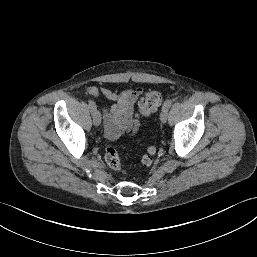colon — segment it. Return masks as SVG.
<instances>
[{
  "label": "colon",
  "instance_id": "1",
  "mask_svg": "<svg viewBox=\"0 0 257 257\" xmlns=\"http://www.w3.org/2000/svg\"><path fill=\"white\" fill-rule=\"evenodd\" d=\"M162 97L157 91L147 93L139 102V109L144 115L154 113L161 105ZM156 153V147L151 146L148 148L147 153L142 157L141 164L149 166L153 162V156ZM105 161L107 165L114 171H120L121 163L117 150L110 141L105 145Z\"/></svg>",
  "mask_w": 257,
  "mask_h": 257
}]
</instances>
